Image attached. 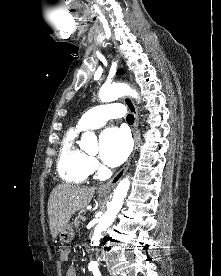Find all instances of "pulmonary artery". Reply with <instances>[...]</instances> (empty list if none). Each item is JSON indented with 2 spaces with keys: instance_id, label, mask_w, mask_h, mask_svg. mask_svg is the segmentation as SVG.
<instances>
[{
  "instance_id": "obj_1",
  "label": "pulmonary artery",
  "mask_w": 221,
  "mask_h": 276,
  "mask_svg": "<svg viewBox=\"0 0 221 276\" xmlns=\"http://www.w3.org/2000/svg\"><path fill=\"white\" fill-rule=\"evenodd\" d=\"M124 116V107L121 104H105L87 111L79 120L77 129L86 130L99 128L112 118Z\"/></svg>"
}]
</instances>
